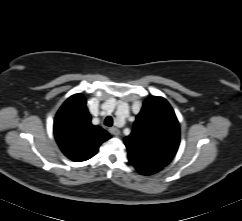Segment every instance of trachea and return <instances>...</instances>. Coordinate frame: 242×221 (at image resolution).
I'll return each instance as SVG.
<instances>
[{
  "label": "trachea",
  "instance_id": "1",
  "mask_svg": "<svg viewBox=\"0 0 242 221\" xmlns=\"http://www.w3.org/2000/svg\"><path fill=\"white\" fill-rule=\"evenodd\" d=\"M104 124L108 127H111L113 125V118L111 116H107L104 121Z\"/></svg>",
  "mask_w": 242,
  "mask_h": 221
}]
</instances>
